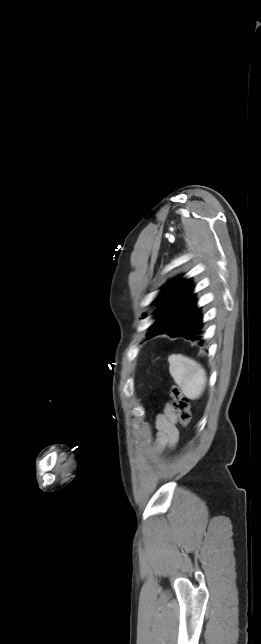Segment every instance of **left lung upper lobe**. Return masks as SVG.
<instances>
[{
  "label": "left lung upper lobe",
  "instance_id": "obj_1",
  "mask_svg": "<svg viewBox=\"0 0 261 644\" xmlns=\"http://www.w3.org/2000/svg\"><path fill=\"white\" fill-rule=\"evenodd\" d=\"M179 278L168 283L162 294L155 300L156 303L163 302V304L154 312L156 321L148 332L147 338L170 334L189 322L199 311L189 279L180 281Z\"/></svg>",
  "mask_w": 261,
  "mask_h": 644
}]
</instances>
